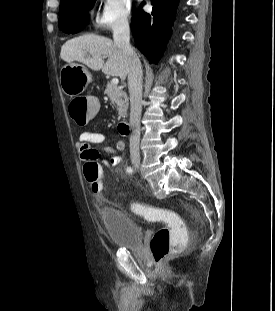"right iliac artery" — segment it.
<instances>
[{
  "instance_id": "1",
  "label": "right iliac artery",
  "mask_w": 275,
  "mask_h": 311,
  "mask_svg": "<svg viewBox=\"0 0 275 311\" xmlns=\"http://www.w3.org/2000/svg\"><path fill=\"white\" fill-rule=\"evenodd\" d=\"M126 171H127V173L131 174L133 172V168L132 167H127Z\"/></svg>"
}]
</instances>
